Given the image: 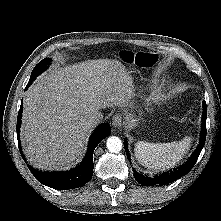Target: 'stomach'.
<instances>
[{
	"mask_svg": "<svg viewBox=\"0 0 221 221\" xmlns=\"http://www.w3.org/2000/svg\"><path fill=\"white\" fill-rule=\"evenodd\" d=\"M131 125H137L138 124V122H137V120H135V119H131Z\"/></svg>",
	"mask_w": 221,
	"mask_h": 221,
	"instance_id": "1",
	"label": "stomach"
}]
</instances>
